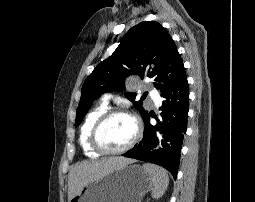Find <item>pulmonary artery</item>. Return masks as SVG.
<instances>
[{
  "mask_svg": "<svg viewBox=\"0 0 255 202\" xmlns=\"http://www.w3.org/2000/svg\"><path fill=\"white\" fill-rule=\"evenodd\" d=\"M110 95L109 94H105L104 96H103V100H104V102H108L109 101V99H110ZM155 103H157V100H155Z\"/></svg>",
  "mask_w": 255,
  "mask_h": 202,
  "instance_id": "obj_1",
  "label": "pulmonary artery"
}]
</instances>
